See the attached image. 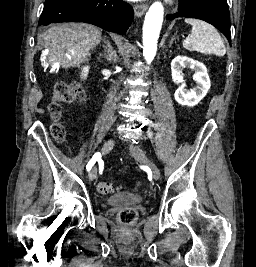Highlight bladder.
<instances>
[{
	"label": "bladder",
	"instance_id": "31cf9c89",
	"mask_svg": "<svg viewBox=\"0 0 256 267\" xmlns=\"http://www.w3.org/2000/svg\"><path fill=\"white\" fill-rule=\"evenodd\" d=\"M108 206L124 204H143L146 202V196L142 195H112L105 199Z\"/></svg>",
	"mask_w": 256,
	"mask_h": 267
}]
</instances>
